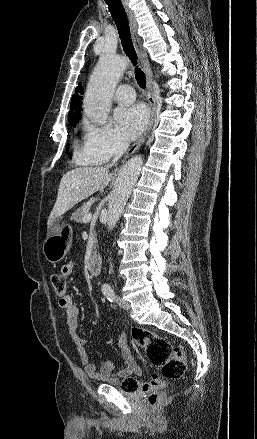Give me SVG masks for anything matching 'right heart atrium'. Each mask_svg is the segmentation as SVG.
Masks as SVG:
<instances>
[{"label": "right heart atrium", "instance_id": "right-heart-atrium-1", "mask_svg": "<svg viewBox=\"0 0 257 439\" xmlns=\"http://www.w3.org/2000/svg\"><path fill=\"white\" fill-rule=\"evenodd\" d=\"M83 132V147L78 158L84 162H106L125 148L124 137L113 125L85 122Z\"/></svg>", "mask_w": 257, "mask_h": 439}]
</instances>
